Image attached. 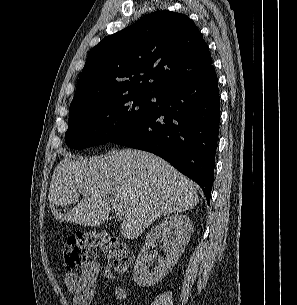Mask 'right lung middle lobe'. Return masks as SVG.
<instances>
[{
	"label": "right lung middle lobe",
	"instance_id": "1",
	"mask_svg": "<svg viewBox=\"0 0 297 305\" xmlns=\"http://www.w3.org/2000/svg\"><path fill=\"white\" fill-rule=\"evenodd\" d=\"M157 93L131 91L79 104L69 110L66 144L74 149L98 146L148 116Z\"/></svg>",
	"mask_w": 297,
	"mask_h": 305
}]
</instances>
